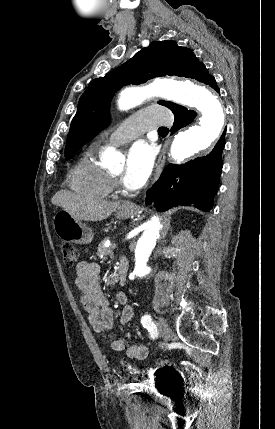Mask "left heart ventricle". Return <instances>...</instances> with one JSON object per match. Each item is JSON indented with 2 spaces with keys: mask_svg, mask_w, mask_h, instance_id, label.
I'll return each mask as SVG.
<instances>
[{
  "mask_svg": "<svg viewBox=\"0 0 275 429\" xmlns=\"http://www.w3.org/2000/svg\"><path fill=\"white\" fill-rule=\"evenodd\" d=\"M124 173V166L120 165L117 168H115L114 170H112V174L118 178H121L123 176Z\"/></svg>",
  "mask_w": 275,
  "mask_h": 429,
  "instance_id": "b2bd125f",
  "label": "left heart ventricle"
}]
</instances>
